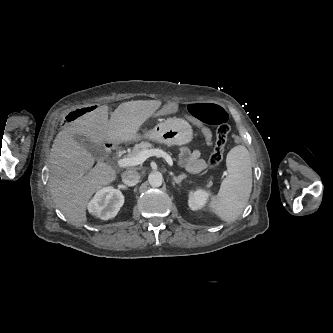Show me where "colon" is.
Instances as JSON below:
<instances>
[{
  "instance_id": "5ec220e1",
  "label": "colon",
  "mask_w": 333,
  "mask_h": 333,
  "mask_svg": "<svg viewBox=\"0 0 333 333\" xmlns=\"http://www.w3.org/2000/svg\"><path fill=\"white\" fill-rule=\"evenodd\" d=\"M95 109L93 104L86 105L81 109H77L75 112H71L67 116V121H73L78 116L85 115L92 112ZM189 111L197 119L204 124L217 125L216 142L214 149L209 158V165L214 168L218 166L223 159L225 152L226 141L231 131V127L228 124V114L225 110L217 104L213 103H198L189 107ZM241 128L234 126L232 128L231 138L234 146L239 147L243 143V139L240 136Z\"/></svg>"
}]
</instances>
